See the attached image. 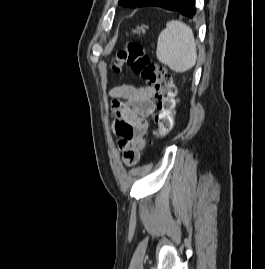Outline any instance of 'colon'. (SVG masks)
<instances>
[{"mask_svg":"<svg viewBox=\"0 0 265 269\" xmlns=\"http://www.w3.org/2000/svg\"><path fill=\"white\" fill-rule=\"evenodd\" d=\"M125 65H128L143 82L154 88L156 98L154 136L156 139L165 137L174 126L177 89L172 75L152 61L138 42H129L118 51L112 69L115 73H120ZM116 132L127 139L134 136L133 127L124 121L117 124Z\"/></svg>","mask_w":265,"mask_h":269,"instance_id":"5ec220e1","label":"colon"}]
</instances>
